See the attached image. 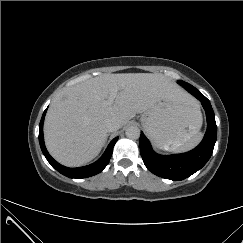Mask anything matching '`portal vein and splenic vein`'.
<instances>
[{
  "label": "portal vein and splenic vein",
  "mask_w": 243,
  "mask_h": 243,
  "mask_svg": "<svg viewBox=\"0 0 243 243\" xmlns=\"http://www.w3.org/2000/svg\"><path fill=\"white\" fill-rule=\"evenodd\" d=\"M116 94H117V90H113L111 93H110V96L109 98L107 99L106 101V104L107 105H111L113 104L114 100H115V97H116Z\"/></svg>",
  "instance_id": "obj_1"
}]
</instances>
